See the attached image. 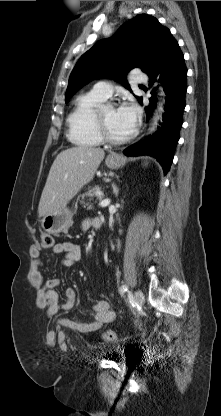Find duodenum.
Instances as JSON below:
<instances>
[{"mask_svg": "<svg viewBox=\"0 0 221 416\" xmlns=\"http://www.w3.org/2000/svg\"><path fill=\"white\" fill-rule=\"evenodd\" d=\"M100 225H101V221L99 220V227H100Z\"/></svg>", "mask_w": 221, "mask_h": 416, "instance_id": "1", "label": "duodenum"}]
</instances>
